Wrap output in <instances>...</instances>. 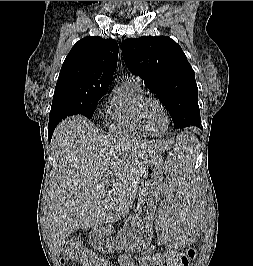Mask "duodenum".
<instances>
[{
  "mask_svg": "<svg viewBox=\"0 0 253 266\" xmlns=\"http://www.w3.org/2000/svg\"><path fill=\"white\" fill-rule=\"evenodd\" d=\"M94 240L103 241L104 240V234L102 232H98L96 235H93L92 237Z\"/></svg>",
  "mask_w": 253,
  "mask_h": 266,
  "instance_id": "410a0bca",
  "label": "duodenum"
}]
</instances>
